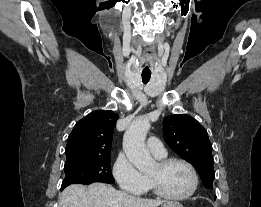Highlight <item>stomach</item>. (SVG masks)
<instances>
[{"label":"stomach","mask_w":261,"mask_h":207,"mask_svg":"<svg viewBox=\"0 0 261 207\" xmlns=\"http://www.w3.org/2000/svg\"><path fill=\"white\" fill-rule=\"evenodd\" d=\"M161 207H183V205L176 201H166Z\"/></svg>","instance_id":"1"}]
</instances>
